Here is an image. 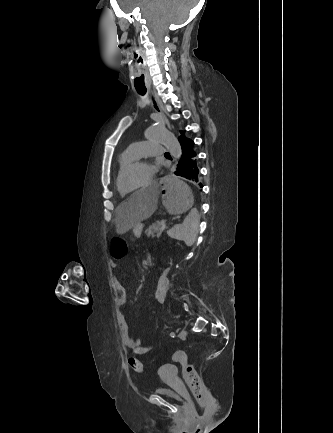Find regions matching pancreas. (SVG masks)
I'll use <instances>...</instances> for the list:
<instances>
[{
    "mask_svg": "<svg viewBox=\"0 0 333 433\" xmlns=\"http://www.w3.org/2000/svg\"><path fill=\"white\" fill-rule=\"evenodd\" d=\"M166 220L162 219L160 221H156L145 231L148 237H159L162 233V227L166 225Z\"/></svg>",
    "mask_w": 333,
    "mask_h": 433,
    "instance_id": "cf45deb5",
    "label": "pancreas"
}]
</instances>
